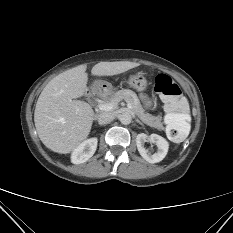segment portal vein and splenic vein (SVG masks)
<instances>
[{
	"instance_id": "obj_1",
	"label": "portal vein and splenic vein",
	"mask_w": 233,
	"mask_h": 233,
	"mask_svg": "<svg viewBox=\"0 0 233 233\" xmlns=\"http://www.w3.org/2000/svg\"><path fill=\"white\" fill-rule=\"evenodd\" d=\"M126 102H127V107H128L129 109H132L131 103H130L129 101H127V100H126ZM116 105H117L116 102L111 101V102H109V103H100V104L98 105V108H99L101 111H110V110L114 109V107H115Z\"/></svg>"
}]
</instances>
